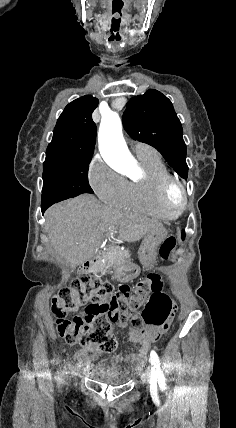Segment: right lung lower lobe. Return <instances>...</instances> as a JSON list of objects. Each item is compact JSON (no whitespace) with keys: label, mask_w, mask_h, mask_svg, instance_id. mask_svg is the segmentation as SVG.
I'll list each match as a JSON object with an SVG mask.
<instances>
[{"label":"right lung lower lobe","mask_w":236,"mask_h":428,"mask_svg":"<svg viewBox=\"0 0 236 428\" xmlns=\"http://www.w3.org/2000/svg\"><path fill=\"white\" fill-rule=\"evenodd\" d=\"M52 204H46L41 206L42 214H44L45 210L50 207Z\"/></svg>","instance_id":"obj_1"}]
</instances>
